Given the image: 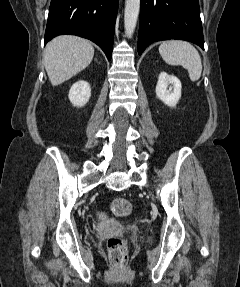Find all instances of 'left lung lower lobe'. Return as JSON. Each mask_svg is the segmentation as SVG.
<instances>
[{
    "label": "left lung lower lobe",
    "instance_id": "left-lung-lower-lobe-1",
    "mask_svg": "<svg viewBox=\"0 0 240 287\" xmlns=\"http://www.w3.org/2000/svg\"><path fill=\"white\" fill-rule=\"evenodd\" d=\"M181 39L204 49L198 0H141L138 54L155 41Z\"/></svg>",
    "mask_w": 240,
    "mask_h": 287
}]
</instances>
